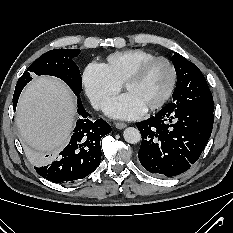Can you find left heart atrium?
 <instances>
[{
	"label": "left heart atrium",
	"instance_id": "39dd6f15",
	"mask_svg": "<svg viewBox=\"0 0 233 233\" xmlns=\"http://www.w3.org/2000/svg\"><path fill=\"white\" fill-rule=\"evenodd\" d=\"M146 108L141 105L130 93H125L109 101L105 112L114 118L134 119L143 115Z\"/></svg>",
	"mask_w": 233,
	"mask_h": 233
}]
</instances>
